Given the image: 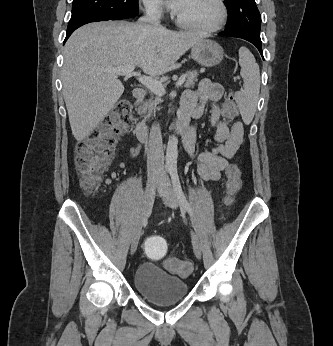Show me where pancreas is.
<instances>
[{"instance_id":"obj_1","label":"pancreas","mask_w":333,"mask_h":346,"mask_svg":"<svg viewBox=\"0 0 333 346\" xmlns=\"http://www.w3.org/2000/svg\"><path fill=\"white\" fill-rule=\"evenodd\" d=\"M186 82L184 83V87L191 88L195 86V83L198 81V73L197 71H188L185 74ZM162 102L160 97H155L154 99H150L146 101L142 106V113L145 115V120L149 118L152 114L155 115L156 110H159V104Z\"/></svg>"}]
</instances>
